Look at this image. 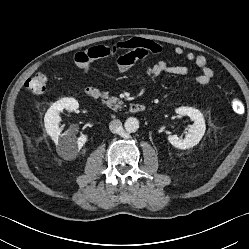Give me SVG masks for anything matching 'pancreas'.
Instances as JSON below:
<instances>
[{"mask_svg": "<svg viewBox=\"0 0 249 249\" xmlns=\"http://www.w3.org/2000/svg\"><path fill=\"white\" fill-rule=\"evenodd\" d=\"M103 102L109 106L113 107L114 110L121 109L123 106V101H120L117 97H110L107 92L103 93Z\"/></svg>", "mask_w": 249, "mask_h": 249, "instance_id": "pancreas-1", "label": "pancreas"}]
</instances>
